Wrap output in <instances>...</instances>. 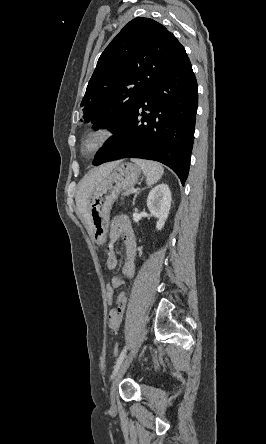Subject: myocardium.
<instances>
[{
  "label": "myocardium",
  "mask_w": 266,
  "mask_h": 444,
  "mask_svg": "<svg viewBox=\"0 0 266 444\" xmlns=\"http://www.w3.org/2000/svg\"><path fill=\"white\" fill-rule=\"evenodd\" d=\"M115 129L102 123L89 129L82 137L80 150L83 155L92 156L104 149L115 137Z\"/></svg>",
  "instance_id": "f54148a6"
}]
</instances>
